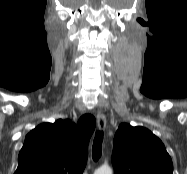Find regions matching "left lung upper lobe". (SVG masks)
<instances>
[{"label":"left lung upper lobe","instance_id":"1","mask_svg":"<svg viewBox=\"0 0 187 174\" xmlns=\"http://www.w3.org/2000/svg\"><path fill=\"white\" fill-rule=\"evenodd\" d=\"M115 174H173L164 144L151 131L122 123L113 141Z\"/></svg>","mask_w":187,"mask_h":174}]
</instances>
